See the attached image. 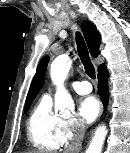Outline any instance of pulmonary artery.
I'll use <instances>...</instances> for the list:
<instances>
[{"label":"pulmonary artery","mask_w":130,"mask_h":153,"mask_svg":"<svg viewBox=\"0 0 130 153\" xmlns=\"http://www.w3.org/2000/svg\"><path fill=\"white\" fill-rule=\"evenodd\" d=\"M70 86L79 94H88L92 91V86L87 81H73L70 83Z\"/></svg>","instance_id":"e3ab8cb5"}]
</instances>
